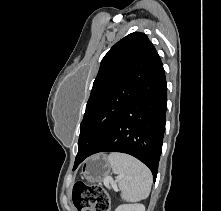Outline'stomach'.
<instances>
[{"mask_svg":"<svg viewBox=\"0 0 221 211\" xmlns=\"http://www.w3.org/2000/svg\"><path fill=\"white\" fill-rule=\"evenodd\" d=\"M110 168L107 157L99 154L84 162L81 174L90 183H100L109 175Z\"/></svg>","mask_w":221,"mask_h":211,"instance_id":"obj_1","label":"stomach"}]
</instances>
